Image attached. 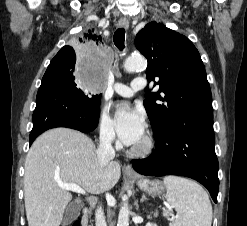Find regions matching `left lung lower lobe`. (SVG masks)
<instances>
[{
  "instance_id": "1",
  "label": "left lung lower lobe",
  "mask_w": 247,
  "mask_h": 226,
  "mask_svg": "<svg viewBox=\"0 0 247 226\" xmlns=\"http://www.w3.org/2000/svg\"><path fill=\"white\" fill-rule=\"evenodd\" d=\"M155 150L133 168L149 176L180 175L203 184L215 203L219 189L212 106L197 107L153 131Z\"/></svg>"
}]
</instances>
